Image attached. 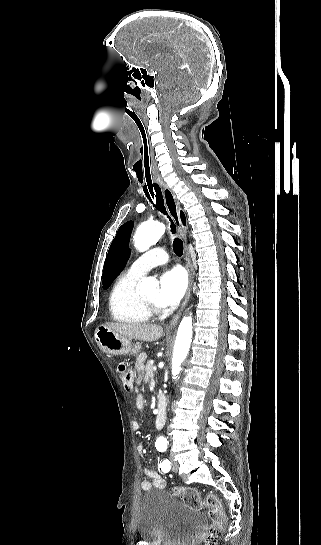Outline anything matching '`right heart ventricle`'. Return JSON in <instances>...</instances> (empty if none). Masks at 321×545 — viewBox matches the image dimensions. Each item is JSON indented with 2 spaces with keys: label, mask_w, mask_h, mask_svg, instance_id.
Returning <instances> with one entry per match:
<instances>
[{
  "label": "right heart ventricle",
  "mask_w": 321,
  "mask_h": 545,
  "mask_svg": "<svg viewBox=\"0 0 321 545\" xmlns=\"http://www.w3.org/2000/svg\"><path fill=\"white\" fill-rule=\"evenodd\" d=\"M140 277L127 272L120 273L110 291L108 309L111 319L121 325L148 322L154 315L141 308L137 301V284ZM161 312L160 316H164Z\"/></svg>",
  "instance_id": "obj_1"
}]
</instances>
